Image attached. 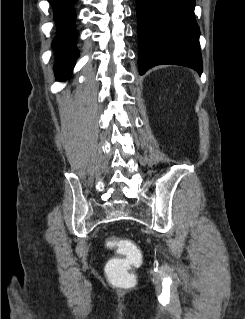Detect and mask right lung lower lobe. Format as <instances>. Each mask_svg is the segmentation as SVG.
I'll return each mask as SVG.
<instances>
[{
	"mask_svg": "<svg viewBox=\"0 0 245 319\" xmlns=\"http://www.w3.org/2000/svg\"><path fill=\"white\" fill-rule=\"evenodd\" d=\"M54 11L57 35L53 42L57 63L54 67L58 81L68 78L78 56L75 48L77 32L74 28L76 14L73 5L77 0H48Z\"/></svg>",
	"mask_w": 245,
	"mask_h": 319,
	"instance_id": "98d812e1",
	"label": "right lung lower lobe"
}]
</instances>
